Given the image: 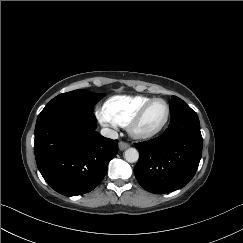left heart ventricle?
Listing matches in <instances>:
<instances>
[{"label":"left heart ventricle","mask_w":243,"mask_h":243,"mask_svg":"<svg viewBox=\"0 0 243 243\" xmlns=\"http://www.w3.org/2000/svg\"><path fill=\"white\" fill-rule=\"evenodd\" d=\"M166 105L159 101L154 103L145 113L139 128L143 131H151L159 127L166 117Z\"/></svg>","instance_id":"obj_1"}]
</instances>
